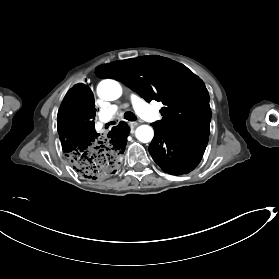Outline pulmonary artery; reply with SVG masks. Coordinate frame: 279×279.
<instances>
[{
	"label": "pulmonary artery",
	"instance_id": "pulmonary-artery-1",
	"mask_svg": "<svg viewBox=\"0 0 279 279\" xmlns=\"http://www.w3.org/2000/svg\"><path fill=\"white\" fill-rule=\"evenodd\" d=\"M118 110H119V108H118L117 105H111V111L112 112L116 113V112H118Z\"/></svg>",
	"mask_w": 279,
	"mask_h": 279
}]
</instances>
